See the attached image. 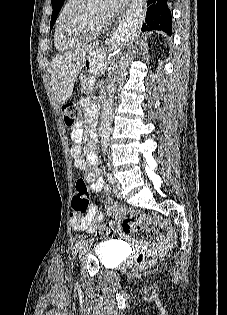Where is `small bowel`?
Segmentation results:
<instances>
[{"label":"small bowel","instance_id":"obj_1","mask_svg":"<svg viewBox=\"0 0 227 315\" xmlns=\"http://www.w3.org/2000/svg\"><path fill=\"white\" fill-rule=\"evenodd\" d=\"M71 139L73 145L70 150V154L73 158L74 167L84 174V180L90 185V188L94 192H98L103 188V178L98 168V161L96 156L95 147L90 144L87 148V160H84L82 154V139L83 129L80 124L75 125L71 131ZM104 199L106 202V210L110 215L119 216L122 213V209L113 204L110 199V195L105 193ZM104 219V215L96 206H92L88 209L84 216L73 215L71 218V226L76 231L92 232L95 226L101 223ZM162 228L165 230V235L159 237L150 247L151 251H158L170 246L174 241V233L170 225L166 222L161 223Z\"/></svg>","mask_w":227,"mask_h":315}]
</instances>
